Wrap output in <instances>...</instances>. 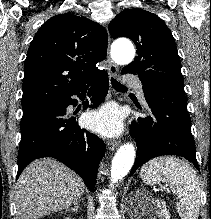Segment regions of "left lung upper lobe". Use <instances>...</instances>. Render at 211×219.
<instances>
[{
    "mask_svg": "<svg viewBox=\"0 0 211 219\" xmlns=\"http://www.w3.org/2000/svg\"><path fill=\"white\" fill-rule=\"evenodd\" d=\"M108 29L113 38L127 37L137 47V57L123 72L137 74L143 85H184L174 38L157 15L139 8L124 10Z\"/></svg>",
    "mask_w": 211,
    "mask_h": 219,
    "instance_id": "1",
    "label": "left lung upper lobe"
}]
</instances>
